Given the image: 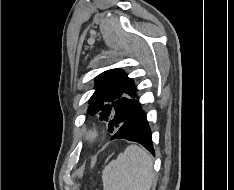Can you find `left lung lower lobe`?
<instances>
[{
    "mask_svg": "<svg viewBox=\"0 0 234 190\" xmlns=\"http://www.w3.org/2000/svg\"><path fill=\"white\" fill-rule=\"evenodd\" d=\"M114 139H127L129 141L138 142L153 155L155 154L151 130L146 119V114L142 110L139 102L110 140Z\"/></svg>",
    "mask_w": 234,
    "mask_h": 190,
    "instance_id": "obj_1",
    "label": "left lung lower lobe"
}]
</instances>
